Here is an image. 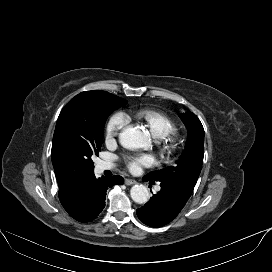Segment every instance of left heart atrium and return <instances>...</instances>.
I'll list each match as a JSON object with an SVG mask.
<instances>
[{
  "instance_id": "1",
  "label": "left heart atrium",
  "mask_w": 272,
  "mask_h": 272,
  "mask_svg": "<svg viewBox=\"0 0 272 272\" xmlns=\"http://www.w3.org/2000/svg\"><path fill=\"white\" fill-rule=\"evenodd\" d=\"M154 162L153 156L149 154L128 156L126 158L127 166L132 172H140L143 167L151 166Z\"/></svg>"
}]
</instances>
